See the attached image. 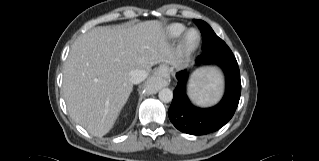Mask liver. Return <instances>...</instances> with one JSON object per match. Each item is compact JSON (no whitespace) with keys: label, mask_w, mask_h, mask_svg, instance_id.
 <instances>
[{"label":"liver","mask_w":319,"mask_h":161,"mask_svg":"<svg viewBox=\"0 0 319 161\" xmlns=\"http://www.w3.org/2000/svg\"><path fill=\"white\" fill-rule=\"evenodd\" d=\"M174 51L163 23L95 27L71 46L63 71V97L72 119L102 137L113 127L133 83L129 72L170 63Z\"/></svg>","instance_id":"1"}]
</instances>
